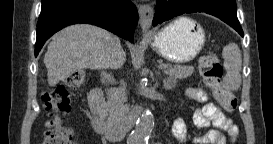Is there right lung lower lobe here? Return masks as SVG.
Here are the masks:
<instances>
[{"instance_id": "obj_1", "label": "right lung lower lobe", "mask_w": 273, "mask_h": 144, "mask_svg": "<svg viewBox=\"0 0 273 144\" xmlns=\"http://www.w3.org/2000/svg\"><path fill=\"white\" fill-rule=\"evenodd\" d=\"M137 22V9L130 0H42L35 56L49 37L68 25H96L133 42Z\"/></svg>"}]
</instances>
